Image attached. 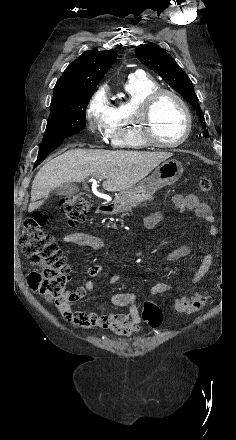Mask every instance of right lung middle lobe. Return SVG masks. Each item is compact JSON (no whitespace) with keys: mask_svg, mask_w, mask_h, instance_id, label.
Returning a JSON list of instances; mask_svg holds the SVG:
<instances>
[{"mask_svg":"<svg viewBox=\"0 0 236 440\" xmlns=\"http://www.w3.org/2000/svg\"><path fill=\"white\" fill-rule=\"evenodd\" d=\"M91 94L50 105V116L41 145L63 142L86 126L85 113Z\"/></svg>","mask_w":236,"mask_h":440,"instance_id":"dd1d6c3e","label":"right lung middle lobe"}]
</instances>
